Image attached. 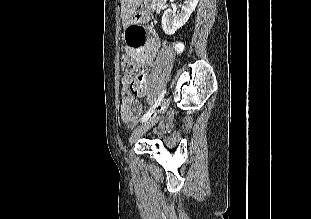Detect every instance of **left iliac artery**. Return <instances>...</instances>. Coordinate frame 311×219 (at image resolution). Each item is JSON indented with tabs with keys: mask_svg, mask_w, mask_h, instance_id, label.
Wrapping results in <instances>:
<instances>
[{
	"mask_svg": "<svg viewBox=\"0 0 311 219\" xmlns=\"http://www.w3.org/2000/svg\"><path fill=\"white\" fill-rule=\"evenodd\" d=\"M166 93V89H164L159 95L158 99L154 103V105L143 115L141 122H145L147 119L151 117V115L155 112L156 108L161 104L164 95Z\"/></svg>",
	"mask_w": 311,
	"mask_h": 219,
	"instance_id": "1",
	"label": "left iliac artery"
}]
</instances>
